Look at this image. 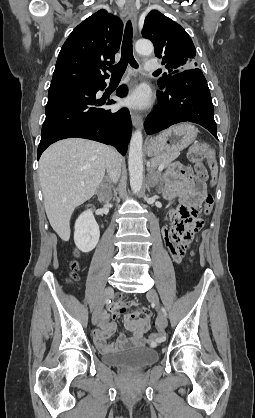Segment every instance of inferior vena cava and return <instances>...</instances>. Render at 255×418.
Wrapping results in <instances>:
<instances>
[{"label": "inferior vena cava", "instance_id": "602c4592", "mask_svg": "<svg viewBox=\"0 0 255 418\" xmlns=\"http://www.w3.org/2000/svg\"><path fill=\"white\" fill-rule=\"evenodd\" d=\"M105 164L110 180L117 183L121 174V161L118 152L112 147H108Z\"/></svg>", "mask_w": 255, "mask_h": 418}]
</instances>
